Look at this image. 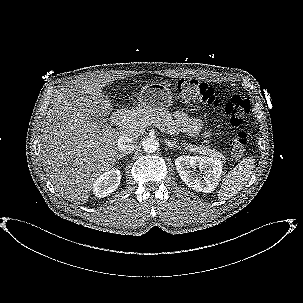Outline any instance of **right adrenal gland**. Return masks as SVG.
I'll list each match as a JSON object with an SVG mask.
<instances>
[{
  "label": "right adrenal gland",
  "instance_id": "2a0ac1e0",
  "mask_svg": "<svg viewBox=\"0 0 303 303\" xmlns=\"http://www.w3.org/2000/svg\"><path fill=\"white\" fill-rule=\"evenodd\" d=\"M125 155L124 154H119L118 155V160H120L121 158H123Z\"/></svg>",
  "mask_w": 303,
  "mask_h": 303
}]
</instances>
